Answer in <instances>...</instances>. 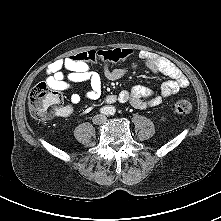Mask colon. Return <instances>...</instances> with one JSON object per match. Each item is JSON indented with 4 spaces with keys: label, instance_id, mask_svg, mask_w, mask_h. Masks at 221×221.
<instances>
[{
    "label": "colon",
    "instance_id": "1",
    "mask_svg": "<svg viewBox=\"0 0 221 221\" xmlns=\"http://www.w3.org/2000/svg\"><path fill=\"white\" fill-rule=\"evenodd\" d=\"M130 49L89 50L73 57L74 61L85 64H96L103 61L116 63L128 58ZM63 95L58 90L49 88L46 84H37L30 92L28 106L31 115L38 121H47L62 112ZM193 107L187 100H177L174 111L178 115H188Z\"/></svg>",
    "mask_w": 221,
    "mask_h": 221
}]
</instances>
